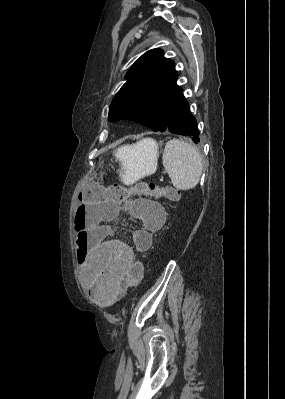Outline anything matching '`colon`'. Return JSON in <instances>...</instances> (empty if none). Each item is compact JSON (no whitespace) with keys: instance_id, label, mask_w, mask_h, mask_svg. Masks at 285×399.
Listing matches in <instances>:
<instances>
[{"instance_id":"1","label":"colon","mask_w":285,"mask_h":399,"mask_svg":"<svg viewBox=\"0 0 285 399\" xmlns=\"http://www.w3.org/2000/svg\"><path fill=\"white\" fill-rule=\"evenodd\" d=\"M86 191H93L97 195L102 193L98 177H90L84 184ZM106 195L111 200H125L131 196H149L155 199L166 197L170 200L178 198L177 190L172 187H164L154 183H138L134 187L126 188L121 185L115 184L106 190ZM144 275L143 264L140 261H135L130 267V278L134 282L142 280Z\"/></svg>"}]
</instances>
